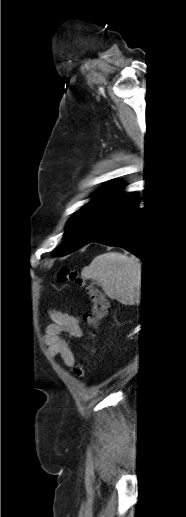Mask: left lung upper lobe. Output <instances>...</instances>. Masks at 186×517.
Listing matches in <instances>:
<instances>
[{
    "instance_id": "left-lung-upper-lobe-1",
    "label": "left lung upper lobe",
    "mask_w": 186,
    "mask_h": 517,
    "mask_svg": "<svg viewBox=\"0 0 186 517\" xmlns=\"http://www.w3.org/2000/svg\"><path fill=\"white\" fill-rule=\"evenodd\" d=\"M121 183H112L99 190L94 199L82 209L75 212L70 218L63 236L65 245L59 247L55 254L63 256L72 253L88 242L96 224L125 194L121 190Z\"/></svg>"
}]
</instances>
